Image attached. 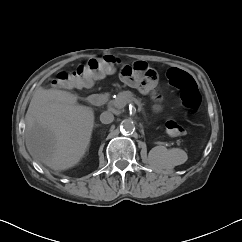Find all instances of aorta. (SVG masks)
<instances>
[{
  "label": "aorta",
  "instance_id": "1",
  "mask_svg": "<svg viewBox=\"0 0 242 242\" xmlns=\"http://www.w3.org/2000/svg\"><path fill=\"white\" fill-rule=\"evenodd\" d=\"M120 129L123 132L129 133L135 130V124L132 120L126 119L122 122Z\"/></svg>",
  "mask_w": 242,
  "mask_h": 242
}]
</instances>
